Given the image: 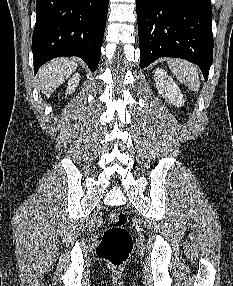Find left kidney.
Instances as JSON below:
<instances>
[{
  "label": "left kidney",
  "instance_id": "left-kidney-1",
  "mask_svg": "<svg viewBox=\"0 0 233 286\" xmlns=\"http://www.w3.org/2000/svg\"><path fill=\"white\" fill-rule=\"evenodd\" d=\"M155 82L159 94H161L168 103L176 106L184 105L183 95L179 87L165 70L161 68L156 69Z\"/></svg>",
  "mask_w": 233,
  "mask_h": 286
}]
</instances>
